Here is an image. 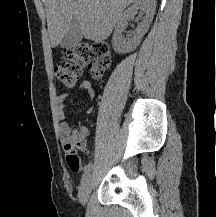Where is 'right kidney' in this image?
I'll return each mask as SVG.
<instances>
[{"label": "right kidney", "instance_id": "obj_1", "mask_svg": "<svg viewBox=\"0 0 216 217\" xmlns=\"http://www.w3.org/2000/svg\"><path fill=\"white\" fill-rule=\"evenodd\" d=\"M140 10L145 14L143 20L137 26L136 34L126 39L122 32L128 26V22L134 18ZM156 10V0H135L134 3L120 16L112 37V46L115 52L128 53L136 49L142 37L148 31Z\"/></svg>", "mask_w": 216, "mask_h": 217}]
</instances>
